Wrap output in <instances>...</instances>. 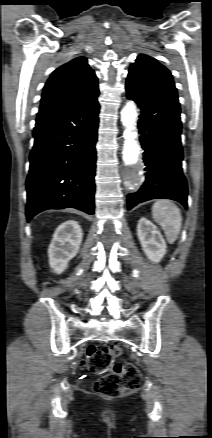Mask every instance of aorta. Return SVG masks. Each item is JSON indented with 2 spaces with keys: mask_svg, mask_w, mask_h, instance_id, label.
Returning <instances> with one entry per match:
<instances>
[{
  "mask_svg": "<svg viewBox=\"0 0 212 438\" xmlns=\"http://www.w3.org/2000/svg\"><path fill=\"white\" fill-rule=\"evenodd\" d=\"M136 119V106L133 102H129L121 111V121L125 127L123 161L126 165L136 164L141 153V148L136 141V136L133 132L135 129Z\"/></svg>",
  "mask_w": 212,
  "mask_h": 438,
  "instance_id": "1",
  "label": "aorta"
}]
</instances>
